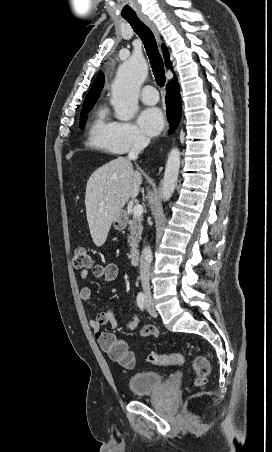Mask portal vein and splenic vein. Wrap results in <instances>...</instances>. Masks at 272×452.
Returning <instances> with one entry per match:
<instances>
[{"label":"portal vein and splenic vein","mask_w":272,"mask_h":452,"mask_svg":"<svg viewBox=\"0 0 272 452\" xmlns=\"http://www.w3.org/2000/svg\"><path fill=\"white\" fill-rule=\"evenodd\" d=\"M143 213V207L140 204H136L133 207V215L134 216H141Z\"/></svg>","instance_id":"1"}]
</instances>
